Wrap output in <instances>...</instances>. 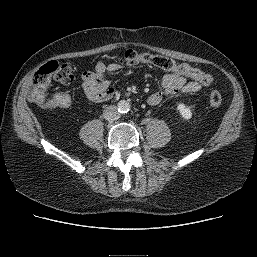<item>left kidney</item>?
<instances>
[{"instance_id":"1","label":"left kidney","mask_w":257,"mask_h":257,"mask_svg":"<svg viewBox=\"0 0 257 257\" xmlns=\"http://www.w3.org/2000/svg\"><path fill=\"white\" fill-rule=\"evenodd\" d=\"M177 110L179 111L182 118H184L185 120H189L192 117V112L190 108L183 103L177 104Z\"/></svg>"}]
</instances>
